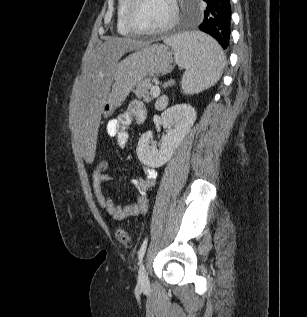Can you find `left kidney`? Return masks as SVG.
<instances>
[{
  "label": "left kidney",
  "instance_id": "left-kidney-1",
  "mask_svg": "<svg viewBox=\"0 0 307 317\" xmlns=\"http://www.w3.org/2000/svg\"><path fill=\"white\" fill-rule=\"evenodd\" d=\"M197 113L191 105L177 104L161 114L162 126L167 129L157 149L152 131L145 132L139 139L136 149L138 159L146 166L157 168L164 165L172 156L185 135L196 121Z\"/></svg>",
  "mask_w": 307,
  "mask_h": 317
}]
</instances>
